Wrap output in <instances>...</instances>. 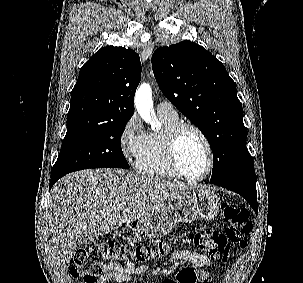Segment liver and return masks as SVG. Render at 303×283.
<instances>
[{
  "label": "liver",
  "instance_id": "liver-1",
  "mask_svg": "<svg viewBox=\"0 0 303 283\" xmlns=\"http://www.w3.org/2000/svg\"><path fill=\"white\" fill-rule=\"evenodd\" d=\"M199 188L121 169H89L64 176L51 190L49 207L52 250L60 272L67 271L79 237L108 234L125 222L160 213L171 201Z\"/></svg>",
  "mask_w": 303,
  "mask_h": 283
}]
</instances>
